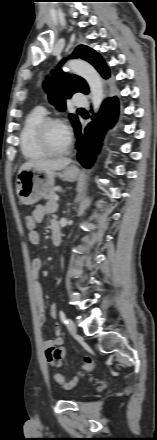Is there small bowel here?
<instances>
[{"label": "small bowel", "mask_w": 157, "mask_h": 440, "mask_svg": "<svg viewBox=\"0 0 157 440\" xmlns=\"http://www.w3.org/2000/svg\"><path fill=\"white\" fill-rule=\"evenodd\" d=\"M55 210H56V204L54 202H48L43 205H38L34 209L32 215L38 224L43 221L46 214H51L55 212ZM54 226H58V223L55 220H52L51 228ZM28 237H29V241L33 245H37L40 241V235L37 230L29 232ZM31 267H32V279L34 281L35 299L37 305L38 324L40 327H42L45 323L46 306L43 297L42 287L41 284L39 283V273L42 267L41 259L39 257L34 258L32 260ZM51 315L54 318L57 316V306L55 304L51 307ZM55 333H56V338L44 341L43 345L45 349V356L48 363L53 366H60L62 360L66 357V350L62 348L63 355L60 358H56L50 353L52 348L56 346L61 347L63 343V339L61 337V328L58 324L55 326Z\"/></svg>", "instance_id": "obj_1"}]
</instances>
